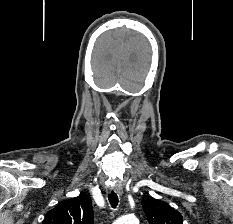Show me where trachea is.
I'll return each mask as SVG.
<instances>
[{
    "instance_id": "3493384b",
    "label": "trachea",
    "mask_w": 233,
    "mask_h": 224,
    "mask_svg": "<svg viewBox=\"0 0 233 224\" xmlns=\"http://www.w3.org/2000/svg\"><path fill=\"white\" fill-rule=\"evenodd\" d=\"M108 199H109V202H110L112 208H116L117 205H118V196H117V194L114 191H112L108 195Z\"/></svg>"
}]
</instances>
